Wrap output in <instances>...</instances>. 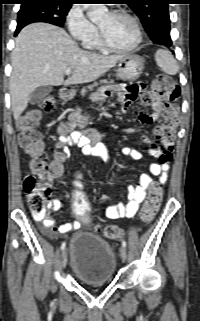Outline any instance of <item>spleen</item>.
Instances as JSON below:
<instances>
[{
	"instance_id": "spleen-1",
	"label": "spleen",
	"mask_w": 200,
	"mask_h": 321,
	"mask_svg": "<svg viewBox=\"0 0 200 321\" xmlns=\"http://www.w3.org/2000/svg\"><path fill=\"white\" fill-rule=\"evenodd\" d=\"M155 61L163 72L168 75H176L178 72V64L173 55L164 49H159L155 53Z\"/></svg>"
}]
</instances>
